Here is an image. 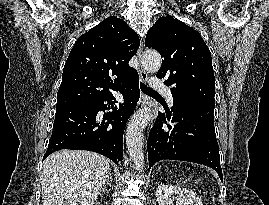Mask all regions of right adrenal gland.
Wrapping results in <instances>:
<instances>
[{"mask_svg":"<svg viewBox=\"0 0 269 205\" xmlns=\"http://www.w3.org/2000/svg\"><path fill=\"white\" fill-rule=\"evenodd\" d=\"M111 180H112V173L109 172L107 182L104 184L102 191H104L107 188V186H111Z\"/></svg>","mask_w":269,"mask_h":205,"instance_id":"2a0ac1e0","label":"right adrenal gland"}]
</instances>
